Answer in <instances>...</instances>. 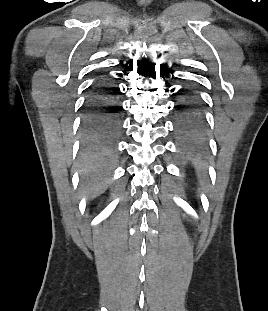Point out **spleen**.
<instances>
[{
    "mask_svg": "<svg viewBox=\"0 0 268 311\" xmlns=\"http://www.w3.org/2000/svg\"><path fill=\"white\" fill-rule=\"evenodd\" d=\"M193 165L197 171V176H198L201 184L203 186H205L206 183L204 181V177H205L206 170H207L206 164L203 161H201L200 159H194Z\"/></svg>",
    "mask_w": 268,
    "mask_h": 311,
    "instance_id": "1",
    "label": "spleen"
}]
</instances>
